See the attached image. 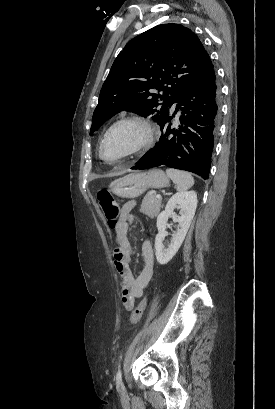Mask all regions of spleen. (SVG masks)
Masks as SVG:
<instances>
[{
  "mask_svg": "<svg viewBox=\"0 0 275 409\" xmlns=\"http://www.w3.org/2000/svg\"><path fill=\"white\" fill-rule=\"evenodd\" d=\"M166 174L175 182L177 190L183 192L190 188L194 184V178L190 172H184V170H175V168H166Z\"/></svg>",
  "mask_w": 275,
  "mask_h": 409,
  "instance_id": "1",
  "label": "spleen"
}]
</instances>
